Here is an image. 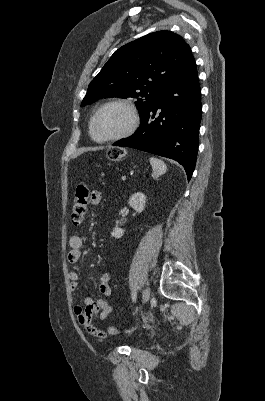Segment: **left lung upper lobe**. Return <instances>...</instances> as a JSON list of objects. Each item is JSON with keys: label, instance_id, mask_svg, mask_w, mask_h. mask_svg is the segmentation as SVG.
I'll return each mask as SVG.
<instances>
[{"label": "left lung upper lobe", "instance_id": "left-lung-upper-lobe-1", "mask_svg": "<svg viewBox=\"0 0 265 401\" xmlns=\"http://www.w3.org/2000/svg\"><path fill=\"white\" fill-rule=\"evenodd\" d=\"M183 38L158 31L119 48L91 81L81 106L100 98L134 99L140 117L192 58Z\"/></svg>", "mask_w": 265, "mask_h": 401}]
</instances>
